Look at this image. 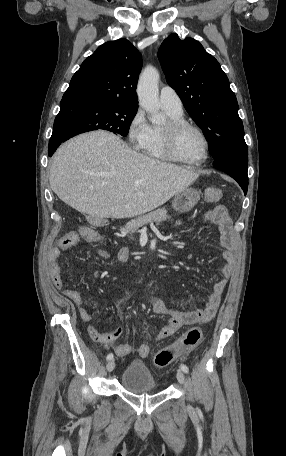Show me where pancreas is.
<instances>
[{
    "label": "pancreas",
    "instance_id": "cf45deb5",
    "mask_svg": "<svg viewBox=\"0 0 286 456\" xmlns=\"http://www.w3.org/2000/svg\"><path fill=\"white\" fill-rule=\"evenodd\" d=\"M169 218L170 217L167 215V210L165 208L157 209L153 212L129 221L125 227L122 228V230L126 233H132L146 224L153 222L160 223L166 221Z\"/></svg>",
    "mask_w": 286,
    "mask_h": 456
}]
</instances>
